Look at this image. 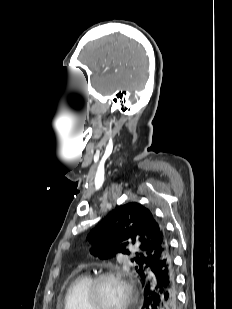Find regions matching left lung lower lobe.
<instances>
[{"instance_id":"0a47b994","label":"left lung lower lobe","mask_w":232,"mask_h":309,"mask_svg":"<svg viewBox=\"0 0 232 309\" xmlns=\"http://www.w3.org/2000/svg\"><path fill=\"white\" fill-rule=\"evenodd\" d=\"M141 282L144 289L142 309L177 308L175 265L170 247L150 263Z\"/></svg>"}]
</instances>
